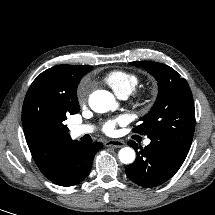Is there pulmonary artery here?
I'll return each instance as SVG.
<instances>
[{
	"label": "pulmonary artery",
	"mask_w": 215,
	"mask_h": 215,
	"mask_svg": "<svg viewBox=\"0 0 215 215\" xmlns=\"http://www.w3.org/2000/svg\"><path fill=\"white\" fill-rule=\"evenodd\" d=\"M120 98L125 99L127 98L126 95H122L120 96ZM94 130V127L92 125H88V124H83V125H75L71 127L70 130V134L72 137H80L83 136L85 134H90L92 133ZM150 139H145L144 144L145 145H149L150 144Z\"/></svg>",
	"instance_id": "e3ab8cb5"
}]
</instances>
